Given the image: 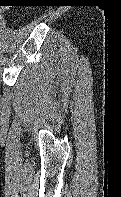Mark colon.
Returning <instances> with one entry per match:
<instances>
[{
    "label": "colon",
    "mask_w": 121,
    "mask_h": 197,
    "mask_svg": "<svg viewBox=\"0 0 121 197\" xmlns=\"http://www.w3.org/2000/svg\"><path fill=\"white\" fill-rule=\"evenodd\" d=\"M7 7L5 5L1 6V11H4Z\"/></svg>",
    "instance_id": "5ec220e1"
}]
</instances>
